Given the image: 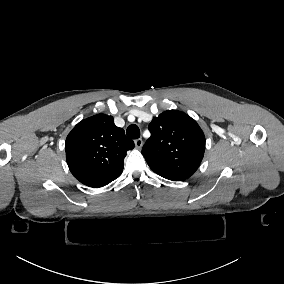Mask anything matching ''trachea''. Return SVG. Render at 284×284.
I'll return each instance as SVG.
<instances>
[{
	"instance_id": "1",
	"label": "trachea",
	"mask_w": 284,
	"mask_h": 284,
	"mask_svg": "<svg viewBox=\"0 0 284 284\" xmlns=\"http://www.w3.org/2000/svg\"><path fill=\"white\" fill-rule=\"evenodd\" d=\"M126 134L132 139L139 138L140 137L139 127L135 124L128 126V128L126 130Z\"/></svg>"
}]
</instances>
